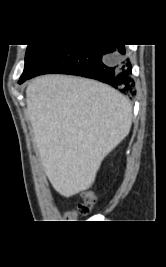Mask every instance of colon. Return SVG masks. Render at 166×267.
<instances>
[{
    "mask_svg": "<svg viewBox=\"0 0 166 267\" xmlns=\"http://www.w3.org/2000/svg\"><path fill=\"white\" fill-rule=\"evenodd\" d=\"M96 202V195L92 191H87L83 195V202L78 205L76 210L69 211L67 213V218L70 220H74L79 215H87L92 206Z\"/></svg>",
    "mask_w": 166,
    "mask_h": 267,
    "instance_id": "5ec220e1",
    "label": "colon"
}]
</instances>
